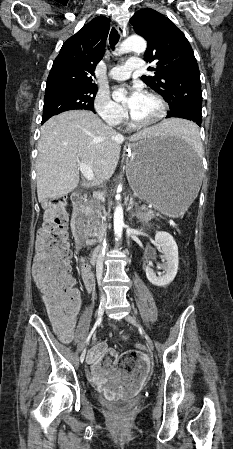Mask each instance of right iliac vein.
<instances>
[{
    "label": "right iliac vein",
    "instance_id": "63e3f726",
    "mask_svg": "<svg viewBox=\"0 0 233 449\" xmlns=\"http://www.w3.org/2000/svg\"><path fill=\"white\" fill-rule=\"evenodd\" d=\"M105 306H106V298L102 297L101 298V303H100V306H99V309H98V314H97L98 319L102 317L104 309H105ZM80 361H81V359H80ZM83 361H81V362H83Z\"/></svg>",
    "mask_w": 233,
    "mask_h": 449
}]
</instances>
